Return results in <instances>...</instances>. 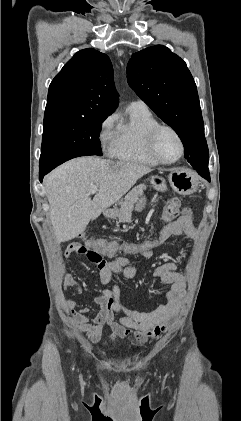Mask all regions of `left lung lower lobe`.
Returning a JSON list of instances; mask_svg holds the SVG:
<instances>
[{
    "label": "left lung lower lobe",
    "mask_w": 241,
    "mask_h": 421,
    "mask_svg": "<svg viewBox=\"0 0 241 421\" xmlns=\"http://www.w3.org/2000/svg\"><path fill=\"white\" fill-rule=\"evenodd\" d=\"M189 163L193 166V168L205 179H207L208 181H210V176H209V170H208V166H202L200 164H196L194 162H190Z\"/></svg>",
    "instance_id": "obj_1"
}]
</instances>
